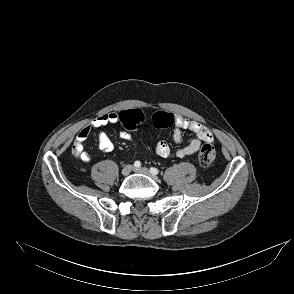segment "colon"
I'll list each match as a JSON object with an SVG mask.
<instances>
[{
	"instance_id": "1",
	"label": "colon",
	"mask_w": 294,
	"mask_h": 294,
	"mask_svg": "<svg viewBox=\"0 0 294 294\" xmlns=\"http://www.w3.org/2000/svg\"><path fill=\"white\" fill-rule=\"evenodd\" d=\"M120 123L128 130H136L145 122V115L140 109H131L119 114ZM152 124L156 128H164L174 123V115L165 111L155 112L151 117ZM76 147V146H75ZM216 158V149L210 144H204L199 151L198 161L203 167L210 166Z\"/></svg>"
}]
</instances>
